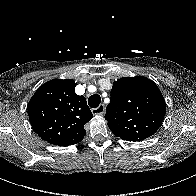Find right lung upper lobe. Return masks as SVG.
I'll list each match as a JSON object with an SVG mask.
<instances>
[{
    "label": "right lung upper lobe",
    "instance_id": "cb5924a9",
    "mask_svg": "<svg viewBox=\"0 0 196 196\" xmlns=\"http://www.w3.org/2000/svg\"><path fill=\"white\" fill-rule=\"evenodd\" d=\"M72 79H53L41 85L28 104L32 129L50 144L69 146L85 136L84 124L93 114L84 96L75 93Z\"/></svg>",
    "mask_w": 196,
    "mask_h": 196
}]
</instances>
